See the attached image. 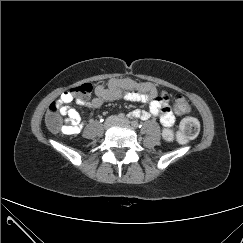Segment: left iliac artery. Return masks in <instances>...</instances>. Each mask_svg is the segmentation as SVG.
Returning a JSON list of instances; mask_svg holds the SVG:
<instances>
[{
    "mask_svg": "<svg viewBox=\"0 0 243 243\" xmlns=\"http://www.w3.org/2000/svg\"><path fill=\"white\" fill-rule=\"evenodd\" d=\"M132 125H133L134 127H136V128H137V127H139V128L141 127V125H139L136 121H132Z\"/></svg>",
    "mask_w": 243,
    "mask_h": 243,
    "instance_id": "obj_1",
    "label": "left iliac artery"
}]
</instances>
